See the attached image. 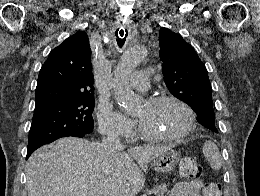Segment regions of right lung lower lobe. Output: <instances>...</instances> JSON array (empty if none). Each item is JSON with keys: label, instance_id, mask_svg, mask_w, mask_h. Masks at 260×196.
<instances>
[{"label": "right lung lower lobe", "instance_id": "obj_1", "mask_svg": "<svg viewBox=\"0 0 260 196\" xmlns=\"http://www.w3.org/2000/svg\"><path fill=\"white\" fill-rule=\"evenodd\" d=\"M86 134H81V135H77V136H75V137H84ZM33 151L34 150H28L27 149V157L26 158H28L32 153H33Z\"/></svg>", "mask_w": 260, "mask_h": 196}]
</instances>
